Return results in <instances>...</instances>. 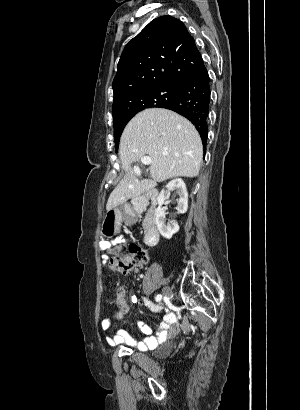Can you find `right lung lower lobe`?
<instances>
[{
    "mask_svg": "<svg viewBox=\"0 0 300 410\" xmlns=\"http://www.w3.org/2000/svg\"><path fill=\"white\" fill-rule=\"evenodd\" d=\"M210 93V79L202 62L185 78L174 98L169 103L161 106L173 110L190 120L198 130L204 147L207 142Z\"/></svg>",
    "mask_w": 300,
    "mask_h": 410,
    "instance_id": "obj_1",
    "label": "right lung lower lobe"
}]
</instances>
